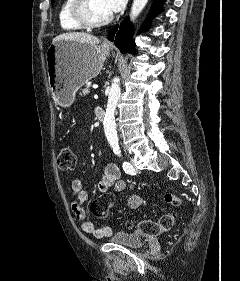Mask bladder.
<instances>
[{"label": "bladder", "instance_id": "bladder-1", "mask_svg": "<svg viewBox=\"0 0 240 281\" xmlns=\"http://www.w3.org/2000/svg\"><path fill=\"white\" fill-rule=\"evenodd\" d=\"M110 241L113 244L136 249L144 244L145 235L134 231H120L113 234Z\"/></svg>", "mask_w": 240, "mask_h": 281}]
</instances>
